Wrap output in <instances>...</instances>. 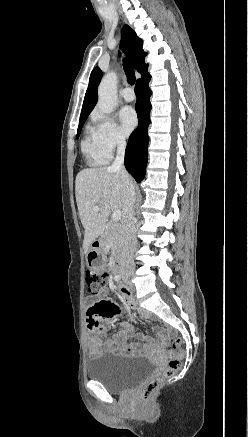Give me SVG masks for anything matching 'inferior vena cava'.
I'll return each instance as SVG.
<instances>
[{"label":"inferior vena cava","instance_id":"obj_1","mask_svg":"<svg viewBox=\"0 0 248 437\" xmlns=\"http://www.w3.org/2000/svg\"><path fill=\"white\" fill-rule=\"evenodd\" d=\"M126 142L124 138L117 140V154L110 169L119 171L122 176V181L125 184V200H124V218L122 224V264L132 267L134 265L133 253L137 245L135 235V218L134 204L136 201L135 189L132 182H129L128 173L124 167V154Z\"/></svg>","mask_w":248,"mask_h":437}]
</instances>
